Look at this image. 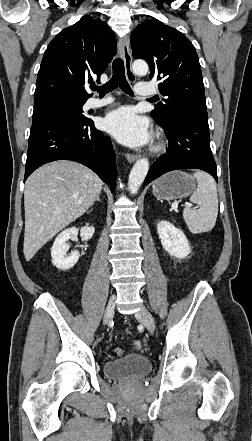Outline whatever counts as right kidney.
<instances>
[{
	"mask_svg": "<svg viewBox=\"0 0 252 441\" xmlns=\"http://www.w3.org/2000/svg\"><path fill=\"white\" fill-rule=\"evenodd\" d=\"M78 229L75 227L68 228L61 232L55 239L51 248L52 263L60 270H69L72 268L80 258L78 251H72L70 255H66L69 250V245L66 243L69 239L77 236ZM95 232L93 226H85L80 229V235L83 241L92 238Z\"/></svg>",
	"mask_w": 252,
	"mask_h": 441,
	"instance_id": "obj_1",
	"label": "right kidney"
}]
</instances>
